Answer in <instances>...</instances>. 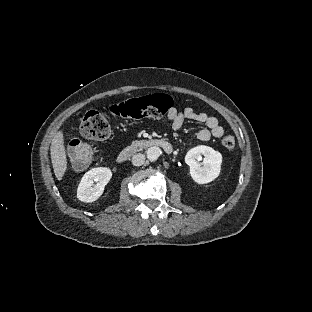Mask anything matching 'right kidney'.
<instances>
[{
  "label": "right kidney",
  "instance_id": "ca27d5eb",
  "mask_svg": "<svg viewBox=\"0 0 312 312\" xmlns=\"http://www.w3.org/2000/svg\"><path fill=\"white\" fill-rule=\"evenodd\" d=\"M112 172L106 167H97L84 174L77 189V198L82 202H93L103 193ZM96 182V184L94 183Z\"/></svg>",
  "mask_w": 312,
  "mask_h": 312
}]
</instances>
